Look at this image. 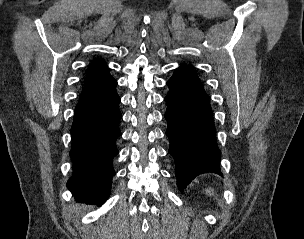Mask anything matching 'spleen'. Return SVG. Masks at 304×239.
Masks as SVG:
<instances>
[{
    "mask_svg": "<svg viewBox=\"0 0 304 239\" xmlns=\"http://www.w3.org/2000/svg\"><path fill=\"white\" fill-rule=\"evenodd\" d=\"M207 192H208L209 194H211V195H214V191L211 190V189H207Z\"/></svg>",
    "mask_w": 304,
    "mask_h": 239,
    "instance_id": "spleen-1",
    "label": "spleen"
}]
</instances>
